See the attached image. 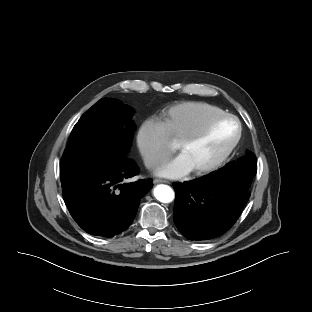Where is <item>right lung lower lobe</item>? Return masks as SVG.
Returning a JSON list of instances; mask_svg holds the SVG:
<instances>
[{
	"mask_svg": "<svg viewBox=\"0 0 312 312\" xmlns=\"http://www.w3.org/2000/svg\"><path fill=\"white\" fill-rule=\"evenodd\" d=\"M138 173L134 161L125 157L62 188L73 219L91 235L112 237L126 230L153 186L151 179L123 183Z\"/></svg>",
	"mask_w": 312,
	"mask_h": 312,
	"instance_id": "right-lung-lower-lobe-1",
	"label": "right lung lower lobe"
}]
</instances>
